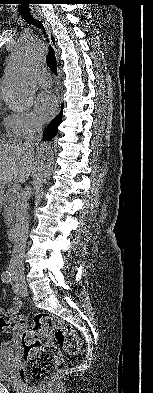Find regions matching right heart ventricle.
Listing matches in <instances>:
<instances>
[{"label":"right heart ventricle","instance_id":"obj_1","mask_svg":"<svg viewBox=\"0 0 153 393\" xmlns=\"http://www.w3.org/2000/svg\"><path fill=\"white\" fill-rule=\"evenodd\" d=\"M0 127H1V129H4V128L7 129V128H6V124H5V120L2 122V124L0 125Z\"/></svg>","mask_w":153,"mask_h":393}]
</instances>
